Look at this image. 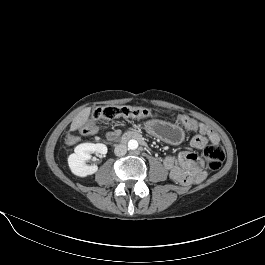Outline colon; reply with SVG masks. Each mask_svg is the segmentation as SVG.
Wrapping results in <instances>:
<instances>
[{
	"mask_svg": "<svg viewBox=\"0 0 265 265\" xmlns=\"http://www.w3.org/2000/svg\"><path fill=\"white\" fill-rule=\"evenodd\" d=\"M154 113L146 108L134 106H103L95 109L88 121L83 125L81 132L85 135L95 134L100 127V124L105 121L113 120L117 117L128 118H149L153 117ZM178 121L184 126L194 128L196 126L195 120L180 115L177 117ZM204 159L210 171L214 172L221 168L225 160L224 148L219 142L211 143L205 147L203 151Z\"/></svg>",
	"mask_w": 265,
	"mask_h": 265,
	"instance_id": "obj_1",
	"label": "colon"
}]
</instances>
